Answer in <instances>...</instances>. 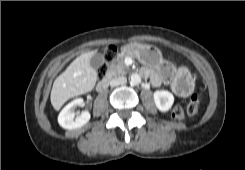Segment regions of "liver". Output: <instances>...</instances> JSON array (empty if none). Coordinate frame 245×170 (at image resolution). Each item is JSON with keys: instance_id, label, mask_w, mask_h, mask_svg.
Instances as JSON below:
<instances>
[{"instance_id": "obj_1", "label": "liver", "mask_w": 245, "mask_h": 170, "mask_svg": "<svg viewBox=\"0 0 245 170\" xmlns=\"http://www.w3.org/2000/svg\"><path fill=\"white\" fill-rule=\"evenodd\" d=\"M94 53L96 51L81 54L55 79L50 95L55 110H60L69 99L93 90L98 76L90 65Z\"/></svg>"}]
</instances>
